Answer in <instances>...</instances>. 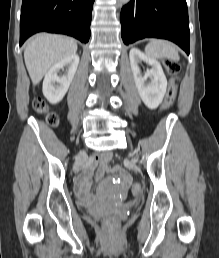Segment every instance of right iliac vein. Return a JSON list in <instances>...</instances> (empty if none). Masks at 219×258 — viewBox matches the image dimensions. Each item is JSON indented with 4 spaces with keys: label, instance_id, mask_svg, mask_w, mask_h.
I'll return each instance as SVG.
<instances>
[{
    "label": "right iliac vein",
    "instance_id": "1",
    "mask_svg": "<svg viewBox=\"0 0 219 258\" xmlns=\"http://www.w3.org/2000/svg\"><path fill=\"white\" fill-rule=\"evenodd\" d=\"M85 152L82 150L79 152L77 159H76V163L74 168L77 169L79 166H81L83 164V156H84Z\"/></svg>",
    "mask_w": 219,
    "mask_h": 258
}]
</instances>
